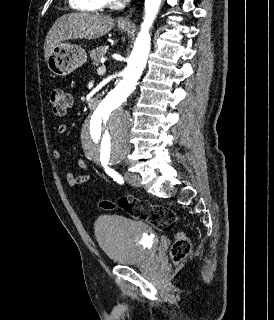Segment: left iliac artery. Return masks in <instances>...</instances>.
<instances>
[{
	"instance_id": "left-iliac-artery-1",
	"label": "left iliac artery",
	"mask_w": 274,
	"mask_h": 320,
	"mask_svg": "<svg viewBox=\"0 0 274 320\" xmlns=\"http://www.w3.org/2000/svg\"><path fill=\"white\" fill-rule=\"evenodd\" d=\"M102 165L104 166L105 172L110 177H112L117 183H119V184L124 183L122 176L120 174H118L114 169L108 167L107 162L106 163L103 162Z\"/></svg>"
}]
</instances>
